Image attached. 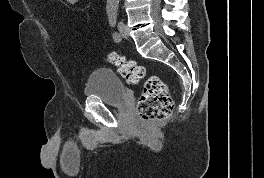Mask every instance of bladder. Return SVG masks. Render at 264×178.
<instances>
[{"label": "bladder", "instance_id": "1", "mask_svg": "<svg viewBox=\"0 0 264 178\" xmlns=\"http://www.w3.org/2000/svg\"><path fill=\"white\" fill-rule=\"evenodd\" d=\"M87 99H96L105 105L119 107L127 100L122 80L110 69L99 68L90 73L84 85Z\"/></svg>", "mask_w": 264, "mask_h": 178}]
</instances>
